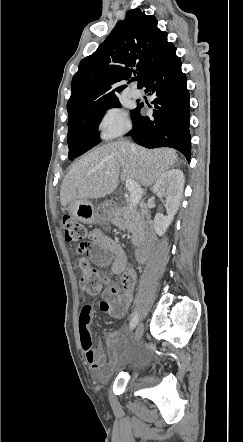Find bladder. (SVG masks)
Segmentation results:
<instances>
[{"instance_id": "1", "label": "bladder", "mask_w": 243, "mask_h": 442, "mask_svg": "<svg viewBox=\"0 0 243 442\" xmlns=\"http://www.w3.org/2000/svg\"><path fill=\"white\" fill-rule=\"evenodd\" d=\"M145 370V364L142 361L135 360L132 362L129 373L132 376L139 375Z\"/></svg>"}]
</instances>
